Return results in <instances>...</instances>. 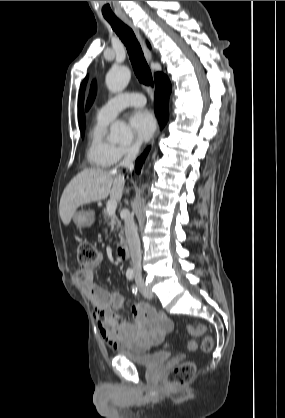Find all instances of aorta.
I'll return each instance as SVG.
<instances>
[{
	"label": "aorta",
	"mask_w": 285,
	"mask_h": 418,
	"mask_svg": "<svg viewBox=\"0 0 285 418\" xmlns=\"http://www.w3.org/2000/svg\"><path fill=\"white\" fill-rule=\"evenodd\" d=\"M131 78L130 69L127 66L112 67L106 75V86L112 93L123 91ZM132 136L129 126L122 121L114 122L110 127V139L113 142L122 143Z\"/></svg>",
	"instance_id": "aorta-1"
}]
</instances>
